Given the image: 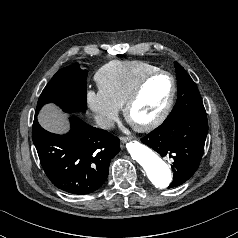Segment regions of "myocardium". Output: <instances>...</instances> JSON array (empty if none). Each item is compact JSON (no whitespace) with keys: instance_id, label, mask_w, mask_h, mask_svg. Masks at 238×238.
<instances>
[{"instance_id":"myocardium-1","label":"myocardium","mask_w":238,"mask_h":238,"mask_svg":"<svg viewBox=\"0 0 238 238\" xmlns=\"http://www.w3.org/2000/svg\"><path fill=\"white\" fill-rule=\"evenodd\" d=\"M158 76H166L170 80V84H171L170 95H169V98H168L165 106L153 120H151L145 124L133 123L130 118V112H131L132 107L134 106V104L137 102V100L141 96L146 84L150 80H152L153 78L158 77ZM176 90H177V87H176L175 79L167 71L157 70V71H154V72L144 76L137 83V85L134 87V89L132 90V92L130 93V95L128 96L127 100L125 101V103L123 105L124 118L138 132H148V131L155 129L166 119V117L170 113V110H171L174 100H175Z\"/></svg>"}]
</instances>
